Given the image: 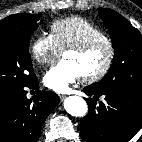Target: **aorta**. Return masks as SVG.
I'll list each match as a JSON object with an SVG mask.
<instances>
[{
	"mask_svg": "<svg viewBox=\"0 0 142 142\" xmlns=\"http://www.w3.org/2000/svg\"><path fill=\"white\" fill-rule=\"evenodd\" d=\"M65 110L72 116L82 117L87 113L85 100L79 96H69L64 101Z\"/></svg>",
	"mask_w": 142,
	"mask_h": 142,
	"instance_id": "1",
	"label": "aorta"
}]
</instances>
